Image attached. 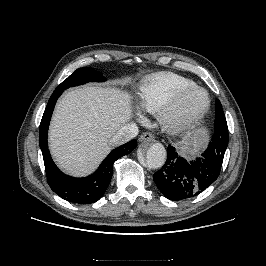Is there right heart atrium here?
<instances>
[{
  "label": "right heart atrium",
  "instance_id": "1",
  "mask_svg": "<svg viewBox=\"0 0 266 266\" xmlns=\"http://www.w3.org/2000/svg\"><path fill=\"white\" fill-rule=\"evenodd\" d=\"M140 119H143V117H142V116H140Z\"/></svg>",
  "mask_w": 266,
  "mask_h": 266
}]
</instances>
